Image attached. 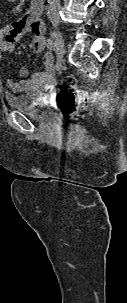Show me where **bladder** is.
Here are the masks:
<instances>
[{
	"label": "bladder",
	"mask_w": 127,
	"mask_h": 303,
	"mask_svg": "<svg viewBox=\"0 0 127 303\" xmlns=\"http://www.w3.org/2000/svg\"><path fill=\"white\" fill-rule=\"evenodd\" d=\"M6 103L10 109L20 111L32 119L45 120L48 117V112L45 110L47 105L37 94H7Z\"/></svg>",
	"instance_id": "bladder-1"
}]
</instances>
